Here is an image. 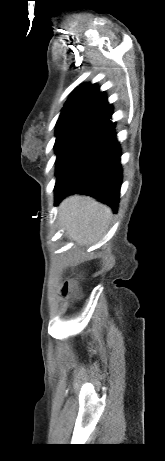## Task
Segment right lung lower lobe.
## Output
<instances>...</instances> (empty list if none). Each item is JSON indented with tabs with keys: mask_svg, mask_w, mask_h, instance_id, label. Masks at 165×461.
Wrapping results in <instances>:
<instances>
[{
	"mask_svg": "<svg viewBox=\"0 0 165 461\" xmlns=\"http://www.w3.org/2000/svg\"><path fill=\"white\" fill-rule=\"evenodd\" d=\"M121 149L109 122L69 163L55 184V205L69 194L90 195L117 211L122 182Z\"/></svg>",
	"mask_w": 165,
	"mask_h": 461,
	"instance_id": "1",
	"label": "right lung lower lobe"
}]
</instances>
